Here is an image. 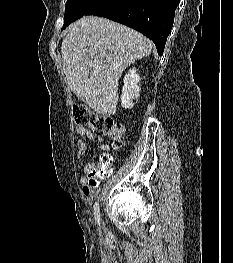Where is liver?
<instances>
[{"label": "liver", "mask_w": 233, "mask_h": 263, "mask_svg": "<svg viewBox=\"0 0 233 263\" xmlns=\"http://www.w3.org/2000/svg\"><path fill=\"white\" fill-rule=\"evenodd\" d=\"M152 48V41L125 25L83 17L68 27L61 45L67 85L96 113L114 115L122 73Z\"/></svg>", "instance_id": "liver-1"}]
</instances>
